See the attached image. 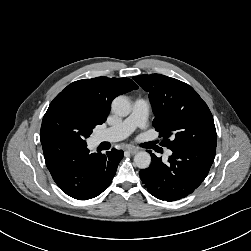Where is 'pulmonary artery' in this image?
Returning <instances> with one entry per match:
<instances>
[{
	"instance_id": "obj_1",
	"label": "pulmonary artery",
	"mask_w": 251,
	"mask_h": 251,
	"mask_svg": "<svg viewBox=\"0 0 251 251\" xmlns=\"http://www.w3.org/2000/svg\"><path fill=\"white\" fill-rule=\"evenodd\" d=\"M149 104L147 100L138 98L134 101L130 115L120 123L107 128L97 135V141L115 142L128 137L136 128H144L147 122ZM170 154V151L167 152Z\"/></svg>"
}]
</instances>
